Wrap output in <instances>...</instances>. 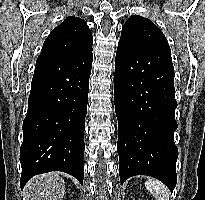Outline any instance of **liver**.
<instances>
[{"instance_id": "6515ba94", "label": "liver", "mask_w": 205, "mask_h": 200, "mask_svg": "<svg viewBox=\"0 0 205 200\" xmlns=\"http://www.w3.org/2000/svg\"><path fill=\"white\" fill-rule=\"evenodd\" d=\"M65 189V182L58 173H45L34 176L26 184V195L30 200H62Z\"/></svg>"}]
</instances>
